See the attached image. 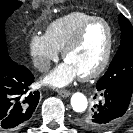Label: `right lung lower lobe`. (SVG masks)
Masks as SVG:
<instances>
[{
	"instance_id": "obj_1",
	"label": "right lung lower lobe",
	"mask_w": 133,
	"mask_h": 133,
	"mask_svg": "<svg viewBox=\"0 0 133 133\" xmlns=\"http://www.w3.org/2000/svg\"><path fill=\"white\" fill-rule=\"evenodd\" d=\"M33 74L10 57L0 60V130H15L25 125L38 104V91H29Z\"/></svg>"
}]
</instances>
